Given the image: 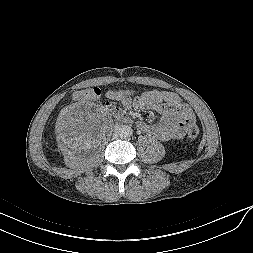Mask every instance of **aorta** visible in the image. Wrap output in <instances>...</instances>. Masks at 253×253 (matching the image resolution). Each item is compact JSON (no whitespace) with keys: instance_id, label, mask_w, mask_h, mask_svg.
Returning <instances> with one entry per match:
<instances>
[{"instance_id":"1","label":"aorta","mask_w":253,"mask_h":253,"mask_svg":"<svg viewBox=\"0 0 253 253\" xmlns=\"http://www.w3.org/2000/svg\"><path fill=\"white\" fill-rule=\"evenodd\" d=\"M132 128L128 125H122L118 128V133L121 137L126 138L132 135Z\"/></svg>"}]
</instances>
